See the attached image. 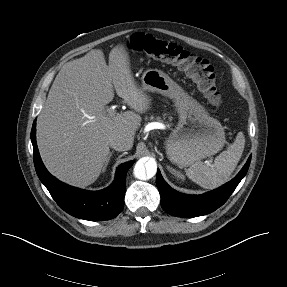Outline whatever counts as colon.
<instances>
[{
	"label": "colon",
	"mask_w": 287,
	"mask_h": 287,
	"mask_svg": "<svg viewBox=\"0 0 287 287\" xmlns=\"http://www.w3.org/2000/svg\"><path fill=\"white\" fill-rule=\"evenodd\" d=\"M128 47L133 51L176 65L196 84L210 104L218 105L221 102L214 68L208 60L190 53L176 43L140 32L130 37Z\"/></svg>",
	"instance_id": "1"
}]
</instances>
